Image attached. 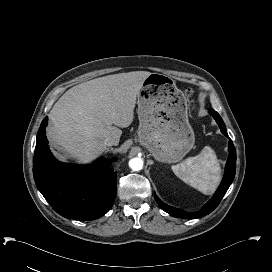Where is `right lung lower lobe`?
<instances>
[{
    "instance_id": "1",
    "label": "right lung lower lobe",
    "mask_w": 272,
    "mask_h": 272,
    "mask_svg": "<svg viewBox=\"0 0 272 272\" xmlns=\"http://www.w3.org/2000/svg\"><path fill=\"white\" fill-rule=\"evenodd\" d=\"M47 120L46 117L40 125L33 158L38 190L65 218L81 221L100 218L110 209L116 196L117 173L109 169L111 160L99 158L91 166L57 161L47 145Z\"/></svg>"
}]
</instances>
